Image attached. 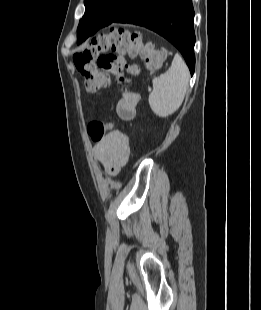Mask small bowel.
Wrapping results in <instances>:
<instances>
[{"label":"small bowel","instance_id":"obj_1","mask_svg":"<svg viewBox=\"0 0 261 310\" xmlns=\"http://www.w3.org/2000/svg\"><path fill=\"white\" fill-rule=\"evenodd\" d=\"M140 95L133 91L124 92L116 106L118 116L123 120L135 117ZM93 139V138H92ZM95 156L106 171L114 175L126 164L131 152L130 139L119 130H112L100 139H93Z\"/></svg>","mask_w":261,"mask_h":310}]
</instances>
